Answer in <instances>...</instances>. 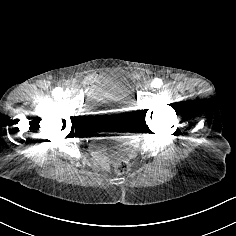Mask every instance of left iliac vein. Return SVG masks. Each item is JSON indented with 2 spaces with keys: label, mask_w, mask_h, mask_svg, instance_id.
Returning <instances> with one entry per match:
<instances>
[{
  "label": "left iliac vein",
  "mask_w": 236,
  "mask_h": 236,
  "mask_svg": "<svg viewBox=\"0 0 236 236\" xmlns=\"http://www.w3.org/2000/svg\"><path fill=\"white\" fill-rule=\"evenodd\" d=\"M147 90H150V87H147Z\"/></svg>",
  "instance_id": "1"
}]
</instances>
